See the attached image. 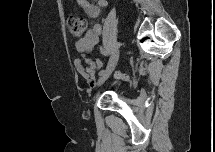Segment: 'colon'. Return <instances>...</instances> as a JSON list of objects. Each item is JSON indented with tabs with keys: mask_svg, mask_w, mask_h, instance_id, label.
<instances>
[{
	"mask_svg": "<svg viewBox=\"0 0 215 152\" xmlns=\"http://www.w3.org/2000/svg\"><path fill=\"white\" fill-rule=\"evenodd\" d=\"M86 27V20L80 16H70L68 19V28L74 37L82 35ZM102 68V63L96 58H89L87 60L86 72L93 75L96 71ZM117 78L124 81H129L128 76L122 73L116 74Z\"/></svg>",
	"mask_w": 215,
	"mask_h": 152,
	"instance_id": "1",
	"label": "colon"
}]
</instances>
